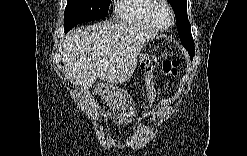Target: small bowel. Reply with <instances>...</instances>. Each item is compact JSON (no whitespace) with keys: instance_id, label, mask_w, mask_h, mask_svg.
Here are the masks:
<instances>
[{"instance_id":"1","label":"small bowel","mask_w":247,"mask_h":156,"mask_svg":"<svg viewBox=\"0 0 247 156\" xmlns=\"http://www.w3.org/2000/svg\"><path fill=\"white\" fill-rule=\"evenodd\" d=\"M142 70L144 72L147 92L150 100L155 97L154 81H153V64L151 62H146L143 64Z\"/></svg>"}]
</instances>
